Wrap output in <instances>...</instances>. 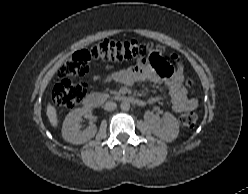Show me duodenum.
<instances>
[{
  "mask_svg": "<svg viewBox=\"0 0 248 194\" xmlns=\"http://www.w3.org/2000/svg\"><path fill=\"white\" fill-rule=\"evenodd\" d=\"M120 101L131 103L136 106H144L145 102L141 99H137L134 97H129L125 95H119L117 97ZM104 100V97L99 93H90L84 99V105L86 107H98Z\"/></svg>",
  "mask_w": 248,
  "mask_h": 194,
  "instance_id": "1",
  "label": "duodenum"
}]
</instances>
